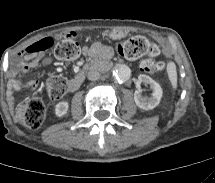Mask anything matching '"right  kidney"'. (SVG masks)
Instances as JSON below:
<instances>
[{"instance_id":"ca27d5eb","label":"right kidney","mask_w":215,"mask_h":183,"mask_svg":"<svg viewBox=\"0 0 215 183\" xmlns=\"http://www.w3.org/2000/svg\"><path fill=\"white\" fill-rule=\"evenodd\" d=\"M69 104L67 101H61L55 106V114L57 117H63L67 114Z\"/></svg>"}]
</instances>
